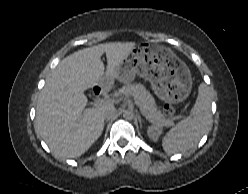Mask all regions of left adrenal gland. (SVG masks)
I'll return each mask as SVG.
<instances>
[{
  "instance_id": "obj_1",
  "label": "left adrenal gland",
  "mask_w": 248,
  "mask_h": 194,
  "mask_svg": "<svg viewBox=\"0 0 248 194\" xmlns=\"http://www.w3.org/2000/svg\"><path fill=\"white\" fill-rule=\"evenodd\" d=\"M139 122H140V124L142 123V119L139 117Z\"/></svg>"
}]
</instances>
